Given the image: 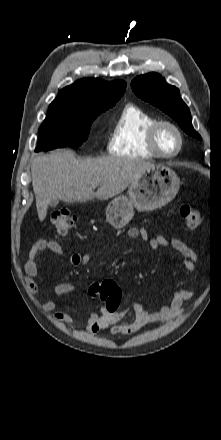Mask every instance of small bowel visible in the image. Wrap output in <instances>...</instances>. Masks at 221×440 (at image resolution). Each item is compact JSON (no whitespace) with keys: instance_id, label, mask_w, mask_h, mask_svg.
<instances>
[{"instance_id":"1","label":"small bowel","mask_w":221,"mask_h":440,"mask_svg":"<svg viewBox=\"0 0 221 440\" xmlns=\"http://www.w3.org/2000/svg\"><path fill=\"white\" fill-rule=\"evenodd\" d=\"M128 237L135 239L141 238L148 240L146 230L136 227L129 228ZM150 247L153 250H158L160 247H171L178 251L182 258L180 264L188 271H196L197 256L194 251L188 247L183 241L177 238L167 240L163 236H156L150 240ZM51 251L65 259L76 267H83L92 261V256L89 254H69L62 245L57 241L41 239L35 242L29 252V258L25 263V285L31 294H36L38 291L35 278L38 276V267L36 258L44 251ZM91 286V285H90ZM90 288V287H89ZM79 292V287L70 282L59 283L55 287V294L58 299L66 295H74ZM194 291L182 287L176 288L173 293L170 304L163 305L155 312H149L142 302H134L128 310H119L118 315H107L105 307L99 313L89 311L86 314V331L90 334H97L108 328L114 335H132L139 332L143 327L149 323L165 322L175 319L183 313L182 305L184 301L193 298ZM58 306L57 301H47L42 304V308L47 312L55 311ZM128 311H131L134 318L128 322H122ZM54 318L57 322L62 324H71L74 322V316L67 312L57 311L54 313Z\"/></svg>"}]
</instances>
